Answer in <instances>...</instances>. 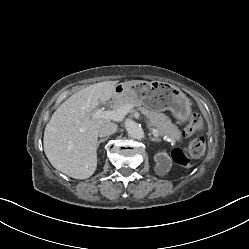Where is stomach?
Returning <instances> with one entry per match:
<instances>
[{
  "label": "stomach",
  "instance_id": "obj_1",
  "mask_svg": "<svg viewBox=\"0 0 249 249\" xmlns=\"http://www.w3.org/2000/svg\"><path fill=\"white\" fill-rule=\"evenodd\" d=\"M115 94L131 96L147 108L161 112L170 110L181 122L188 120L191 103L177 87L160 81H129L115 86Z\"/></svg>",
  "mask_w": 249,
  "mask_h": 249
}]
</instances>
